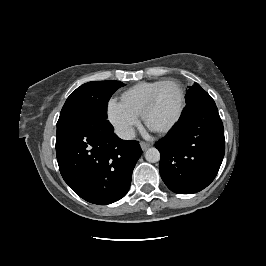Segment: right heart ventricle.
Masks as SVG:
<instances>
[{"label":"right heart ventricle","mask_w":266,"mask_h":266,"mask_svg":"<svg viewBox=\"0 0 266 266\" xmlns=\"http://www.w3.org/2000/svg\"><path fill=\"white\" fill-rule=\"evenodd\" d=\"M164 80L140 82L123 92L122 102L134 113L141 115L145 104L147 103L152 92Z\"/></svg>","instance_id":"e07e8e85"}]
</instances>
